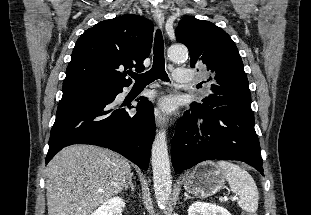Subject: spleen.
<instances>
[{"mask_svg":"<svg viewBox=\"0 0 311 215\" xmlns=\"http://www.w3.org/2000/svg\"><path fill=\"white\" fill-rule=\"evenodd\" d=\"M215 165L222 170L232 192L239 195L238 205L242 210L249 213L256 212L259 193L252 176L239 165L229 161L221 160Z\"/></svg>","mask_w":311,"mask_h":215,"instance_id":"1","label":"spleen"}]
</instances>
